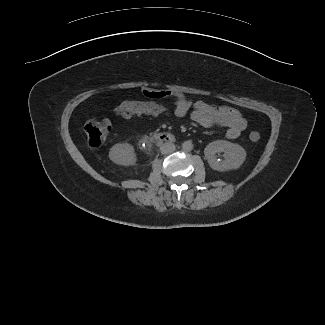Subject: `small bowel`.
I'll use <instances>...</instances> for the list:
<instances>
[{"label":"small bowel","mask_w":325,"mask_h":325,"mask_svg":"<svg viewBox=\"0 0 325 325\" xmlns=\"http://www.w3.org/2000/svg\"><path fill=\"white\" fill-rule=\"evenodd\" d=\"M143 95L151 100L174 98V116L178 118L189 116L194 123L206 128L224 126L227 128L226 136L229 139L238 138L246 127V121L235 108L217 106L202 100L193 103L175 88L146 89Z\"/></svg>","instance_id":"1"}]
</instances>
